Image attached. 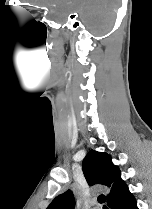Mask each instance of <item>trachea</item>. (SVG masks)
<instances>
[{
	"mask_svg": "<svg viewBox=\"0 0 152 209\" xmlns=\"http://www.w3.org/2000/svg\"><path fill=\"white\" fill-rule=\"evenodd\" d=\"M105 201H106V198H105L104 195H100V196L98 197V202H99L100 204H104ZM103 208H104V209H107L106 206H103Z\"/></svg>",
	"mask_w": 152,
	"mask_h": 209,
	"instance_id": "obj_1",
	"label": "trachea"
}]
</instances>
